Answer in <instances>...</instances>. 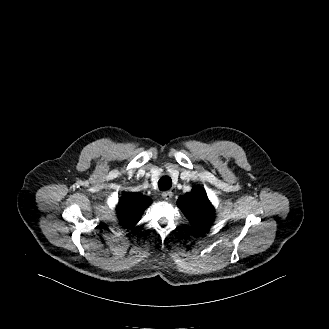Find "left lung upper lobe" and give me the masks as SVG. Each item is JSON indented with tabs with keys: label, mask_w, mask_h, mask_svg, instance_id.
<instances>
[{
	"label": "left lung upper lobe",
	"mask_w": 329,
	"mask_h": 329,
	"mask_svg": "<svg viewBox=\"0 0 329 329\" xmlns=\"http://www.w3.org/2000/svg\"><path fill=\"white\" fill-rule=\"evenodd\" d=\"M177 205L195 229L198 231L208 230L215 213L204 190L198 186L194 187L191 192L178 199Z\"/></svg>",
	"instance_id": "5c2ea615"
}]
</instances>
